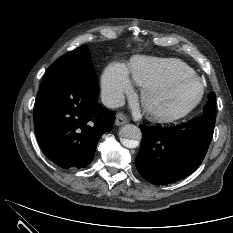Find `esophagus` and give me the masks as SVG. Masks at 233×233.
Segmentation results:
<instances>
[{
    "label": "esophagus",
    "mask_w": 233,
    "mask_h": 233,
    "mask_svg": "<svg viewBox=\"0 0 233 233\" xmlns=\"http://www.w3.org/2000/svg\"><path fill=\"white\" fill-rule=\"evenodd\" d=\"M127 122H128V118L126 117L125 114H123L121 112H119V113L116 114L115 124L117 126L123 125V124H125Z\"/></svg>",
    "instance_id": "esophagus-1"
}]
</instances>
